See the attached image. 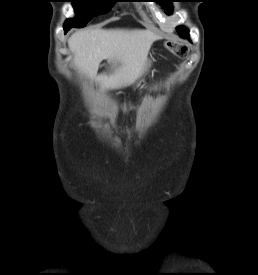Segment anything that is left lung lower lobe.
Segmentation results:
<instances>
[{"instance_id": "1", "label": "left lung lower lobe", "mask_w": 258, "mask_h": 275, "mask_svg": "<svg viewBox=\"0 0 258 275\" xmlns=\"http://www.w3.org/2000/svg\"><path fill=\"white\" fill-rule=\"evenodd\" d=\"M183 38H189V34L182 36Z\"/></svg>"}]
</instances>
